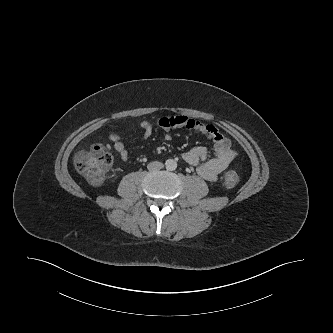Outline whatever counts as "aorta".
<instances>
[{"mask_svg":"<svg viewBox=\"0 0 333 333\" xmlns=\"http://www.w3.org/2000/svg\"><path fill=\"white\" fill-rule=\"evenodd\" d=\"M165 166H166V169L169 170V171H173L177 168V163L175 160L173 159H168L166 162H165Z\"/></svg>","mask_w":333,"mask_h":333,"instance_id":"1","label":"aorta"}]
</instances>
